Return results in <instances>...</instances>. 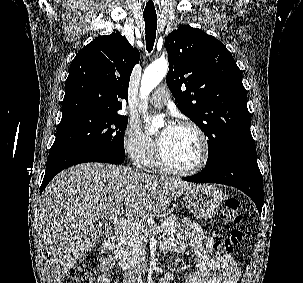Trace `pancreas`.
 Instances as JSON below:
<instances>
[{
    "label": "pancreas",
    "instance_id": "cf45deb5",
    "mask_svg": "<svg viewBox=\"0 0 303 283\" xmlns=\"http://www.w3.org/2000/svg\"><path fill=\"white\" fill-rule=\"evenodd\" d=\"M165 222L168 224L159 226L162 229V238L173 235L180 228L175 215L168 216ZM148 235V228L141 225L126 227L123 230L115 246L114 255L124 270L133 269L144 263Z\"/></svg>",
    "mask_w": 303,
    "mask_h": 283
}]
</instances>
